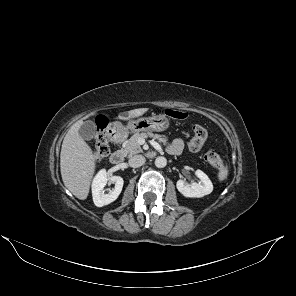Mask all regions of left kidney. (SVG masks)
Returning <instances> with one entry per match:
<instances>
[{
	"mask_svg": "<svg viewBox=\"0 0 296 296\" xmlns=\"http://www.w3.org/2000/svg\"><path fill=\"white\" fill-rule=\"evenodd\" d=\"M195 175L200 179L199 183L188 184L185 180L179 179L176 183L178 191L185 197L200 198L208 195L213 190V184L209 177L201 170H196Z\"/></svg>",
	"mask_w": 296,
	"mask_h": 296,
	"instance_id": "left-kidney-1",
	"label": "left kidney"
}]
</instances>
